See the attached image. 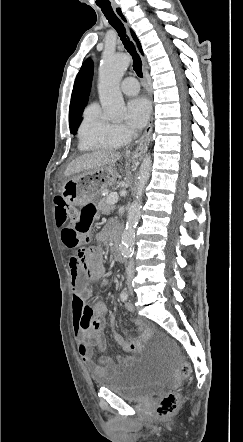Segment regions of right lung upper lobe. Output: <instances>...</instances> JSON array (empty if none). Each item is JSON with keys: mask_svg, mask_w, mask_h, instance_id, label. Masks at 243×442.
I'll list each match as a JSON object with an SVG mask.
<instances>
[{"mask_svg": "<svg viewBox=\"0 0 243 442\" xmlns=\"http://www.w3.org/2000/svg\"><path fill=\"white\" fill-rule=\"evenodd\" d=\"M132 36L138 45L139 51L142 53V48L136 35L133 33ZM92 76L93 63L90 60H86L77 74L72 91L69 109L70 125L81 121V115L87 103L91 88Z\"/></svg>", "mask_w": 243, "mask_h": 442, "instance_id": "1", "label": "right lung upper lobe"}]
</instances>
